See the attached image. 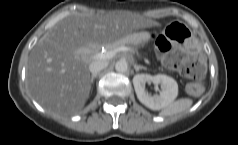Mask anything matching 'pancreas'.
<instances>
[{
	"mask_svg": "<svg viewBox=\"0 0 238 145\" xmlns=\"http://www.w3.org/2000/svg\"><path fill=\"white\" fill-rule=\"evenodd\" d=\"M121 46L138 48L140 46V41L139 40L132 41L131 39H128L126 41L120 40L108 45L107 50L111 51L120 48Z\"/></svg>",
	"mask_w": 238,
	"mask_h": 145,
	"instance_id": "obj_1",
	"label": "pancreas"
}]
</instances>
